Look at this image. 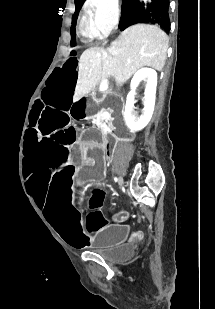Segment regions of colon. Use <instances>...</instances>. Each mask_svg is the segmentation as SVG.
I'll list each match as a JSON object with an SVG mask.
<instances>
[{"label": "colon", "mask_w": 215, "mask_h": 309, "mask_svg": "<svg viewBox=\"0 0 215 309\" xmlns=\"http://www.w3.org/2000/svg\"><path fill=\"white\" fill-rule=\"evenodd\" d=\"M100 214L99 213H96V214H94V215H92V222L93 223H96V222H98L99 220H100Z\"/></svg>", "instance_id": "colon-1"}]
</instances>
